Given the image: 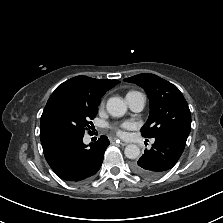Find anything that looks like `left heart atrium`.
I'll list each match as a JSON object with an SVG mask.
<instances>
[{
  "mask_svg": "<svg viewBox=\"0 0 223 223\" xmlns=\"http://www.w3.org/2000/svg\"><path fill=\"white\" fill-rule=\"evenodd\" d=\"M130 128H131V124L128 122H125L113 127L114 131L120 136H124L125 130L130 129Z\"/></svg>",
  "mask_w": 223,
  "mask_h": 223,
  "instance_id": "1",
  "label": "left heart atrium"
}]
</instances>
